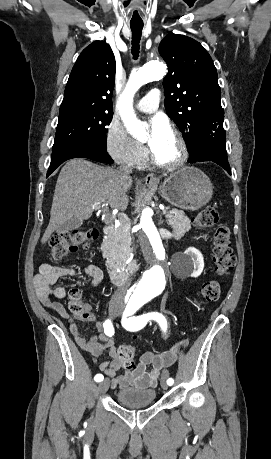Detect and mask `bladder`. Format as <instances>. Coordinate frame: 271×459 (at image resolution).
Returning <instances> with one entry per match:
<instances>
[{"mask_svg":"<svg viewBox=\"0 0 271 459\" xmlns=\"http://www.w3.org/2000/svg\"><path fill=\"white\" fill-rule=\"evenodd\" d=\"M154 389L140 390L135 386L122 389L118 393V404L148 405L155 402Z\"/></svg>","mask_w":271,"mask_h":459,"instance_id":"31cf9c89","label":"bladder"}]
</instances>
